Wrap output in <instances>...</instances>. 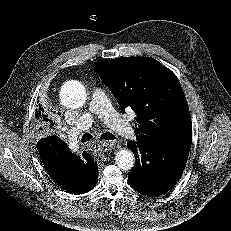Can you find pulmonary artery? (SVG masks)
Returning <instances> with one entry per match:
<instances>
[{
	"mask_svg": "<svg viewBox=\"0 0 231 231\" xmlns=\"http://www.w3.org/2000/svg\"><path fill=\"white\" fill-rule=\"evenodd\" d=\"M95 115H98L106 125L121 136L125 138L134 136L135 132L131 123L115 110L106 91L97 87L92 91L88 111L80 117L76 127L71 129L70 137L77 131H83L91 127Z\"/></svg>",
	"mask_w": 231,
	"mask_h": 231,
	"instance_id": "pulmonary-artery-1",
	"label": "pulmonary artery"
}]
</instances>
